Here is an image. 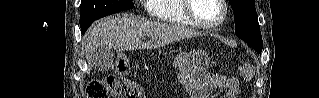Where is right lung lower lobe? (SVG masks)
Wrapping results in <instances>:
<instances>
[{
    "instance_id": "98d812e1",
    "label": "right lung lower lobe",
    "mask_w": 319,
    "mask_h": 98,
    "mask_svg": "<svg viewBox=\"0 0 319 98\" xmlns=\"http://www.w3.org/2000/svg\"><path fill=\"white\" fill-rule=\"evenodd\" d=\"M93 22V21H92ZM92 22H89L83 26H81V33L84 34L86 32V30L88 29V27L92 24Z\"/></svg>"
}]
</instances>
